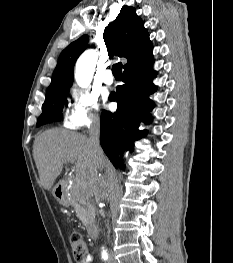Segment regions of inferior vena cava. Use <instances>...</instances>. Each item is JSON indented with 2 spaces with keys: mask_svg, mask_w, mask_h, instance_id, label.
<instances>
[{
  "mask_svg": "<svg viewBox=\"0 0 233 263\" xmlns=\"http://www.w3.org/2000/svg\"><path fill=\"white\" fill-rule=\"evenodd\" d=\"M99 135H100V119L98 115H93L91 117V124L89 127V140L95 152H99L101 150L99 143ZM109 263H116L112 254L109 255Z\"/></svg>",
  "mask_w": 233,
  "mask_h": 263,
  "instance_id": "1",
  "label": "inferior vena cava"
}]
</instances>
